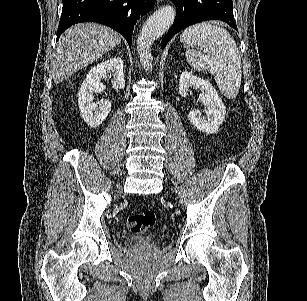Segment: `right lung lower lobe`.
<instances>
[{
  "instance_id": "1",
  "label": "right lung lower lobe",
  "mask_w": 307,
  "mask_h": 301,
  "mask_svg": "<svg viewBox=\"0 0 307 301\" xmlns=\"http://www.w3.org/2000/svg\"><path fill=\"white\" fill-rule=\"evenodd\" d=\"M62 15L57 40L70 26L93 21L107 25L124 36L131 46L134 25L150 12L155 0H62Z\"/></svg>"
}]
</instances>
